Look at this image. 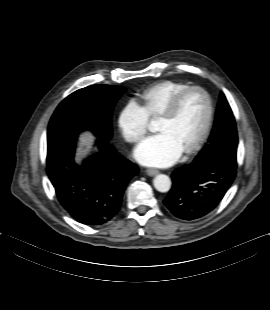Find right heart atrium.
<instances>
[{
    "mask_svg": "<svg viewBox=\"0 0 270 310\" xmlns=\"http://www.w3.org/2000/svg\"><path fill=\"white\" fill-rule=\"evenodd\" d=\"M118 125L128 142H137L149 129V116L141 104L130 100L119 114Z\"/></svg>",
    "mask_w": 270,
    "mask_h": 310,
    "instance_id": "right-heart-atrium-1",
    "label": "right heart atrium"
}]
</instances>
